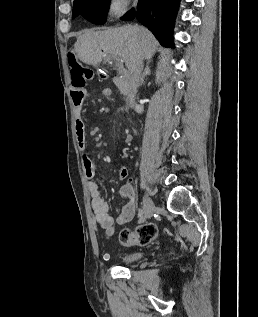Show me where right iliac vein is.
Returning <instances> with one entry per match:
<instances>
[{
	"mask_svg": "<svg viewBox=\"0 0 258 317\" xmlns=\"http://www.w3.org/2000/svg\"><path fill=\"white\" fill-rule=\"evenodd\" d=\"M144 198L142 200L143 203V213L145 216V221H150V218H152L154 213V201L151 200V197L146 194V192H143ZM149 218L148 220L146 218Z\"/></svg>",
	"mask_w": 258,
	"mask_h": 317,
	"instance_id": "1",
	"label": "right iliac vein"
}]
</instances>
